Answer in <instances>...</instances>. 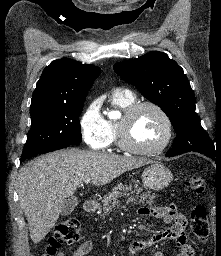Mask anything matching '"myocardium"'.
<instances>
[{
  "label": "myocardium",
  "mask_w": 221,
  "mask_h": 256,
  "mask_svg": "<svg viewBox=\"0 0 221 256\" xmlns=\"http://www.w3.org/2000/svg\"><path fill=\"white\" fill-rule=\"evenodd\" d=\"M143 108H152L154 109L163 119L165 124V134L163 139L159 144L151 148H144L136 145L130 137V129L132 121L136 114ZM173 137V123L165 111V109L153 101H139L130 105L125 111L118 124V144L119 146L133 154L144 155V156H153L161 153L170 143Z\"/></svg>",
  "instance_id": "obj_1"
}]
</instances>
